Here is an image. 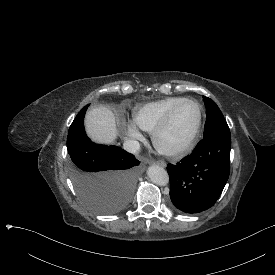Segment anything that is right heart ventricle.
Returning a JSON list of instances; mask_svg holds the SVG:
<instances>
[{"label":"right heart ventricle","instance_id":"1","mask_svg":"<svg viewBox=\"0 0 275 275\" xmlns=\"http://www.w3.org/2000/svg\"><path fill=\"white\" fill-rule=\"evenodd\" d=\"M184 99L183 97H170L135 107L132 110V121L143 131L153 132L163 121L168 111Z\"/></svg>","mask_w":275,"mask_h":275}]
</instances>
